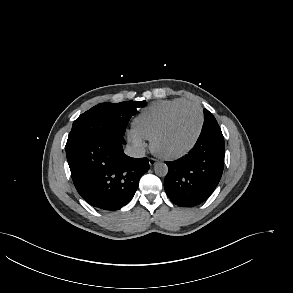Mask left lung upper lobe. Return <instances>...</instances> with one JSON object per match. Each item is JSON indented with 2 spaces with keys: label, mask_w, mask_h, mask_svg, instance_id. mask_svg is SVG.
<instances>
[{
  "label": "left lung upper lobe",
  "mask_w": 293,
  "mask_h": 293,
  "mask_svg": "<svg viewBox=\"0 0 293 293\" xmlns=\"http://www.w3.org/2000/svg\"><path fill=\"white\" fill-rule=\"evenodd\" d=\"M211 125H218V123H217L215 117L213 116V114L210 113L207 109H204V124H203V128H207V127H209Z\"/></svg>",
  "instance_id": "1"
}]
</instances>
